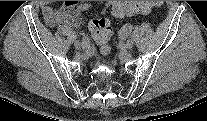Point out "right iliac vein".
<instances>
[{"mask_svg":"<svg viewBox=\"0 0 207 121\" xmlns=\"http://www.w3.org/2000/svg\"><path fill=\"white\" fill-rule=\"evenodd\" d=\"M74 46H75L76 49L79 50V49L81 48L82 45H81L80 42L76 41V42L74 43Z\"/></svg>","mask_w":207,"mask_h":121,"instance_id":"right-iliac-vein-1","label":"right iliac vein"}]
</instances>
